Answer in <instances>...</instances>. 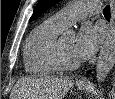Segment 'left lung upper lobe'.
I'll return each mask as SVG.
<instances>
[{
  "mask_svg": "<svg viewBox=\"0 0 115 99\" xmlns=\"http://www.w3.org/2000/svg\"><path fill=\"white\" fill-rule=\"evenodd\" d=\"M60 0H39L33 15L30 18V21H33L37 17H39L42 13H44L48 8L52 7Z\"/></svg>",
  "mask_w": 115,
  "mask_h": 99,
  "instance_id": "1",
  "label": "left lung upper lobe"
}]
</instances>
